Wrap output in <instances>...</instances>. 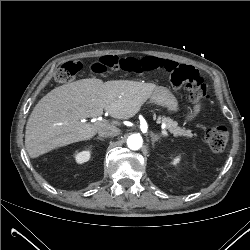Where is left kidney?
I'll return each mask as SVG.
<instances>
[{
	"mask_svg": "<svg viewBox=\"0 0 250 250\" xmlns=\"http://www.w3.org/2000/svg\"><path fill=\"white\" fill-rule=\"evenodd\" d=\"M180 162V157H177L173 160L172 164L177 165Z\"/></svg>",
	"mask_w": 250,
	"mask_h": 250,
	"instance_id": "obj_1",
	"label": "left kidney"
}]
</instances>
